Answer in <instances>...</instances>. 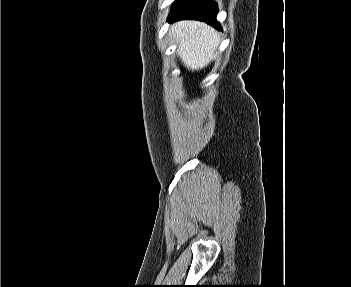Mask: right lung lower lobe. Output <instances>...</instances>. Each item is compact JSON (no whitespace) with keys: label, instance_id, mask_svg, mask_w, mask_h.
<instances>
[{"label":"right lung lower lobe","instance_id":"right-lung-lower-lobe-1","mask_svg":"<svg viewBox=\"0 0 351 287\" xmlns=\"http://www.w3.org/2000/svg\"><path fill=\"white\" fill-rule=\"evenodd\" d=\"M217 5L212 0H177L170 14V21L195 19L205 21L221 30L216 20Z\"/></svg>","mask_w":351,"mask_h":287}]
</instances>
